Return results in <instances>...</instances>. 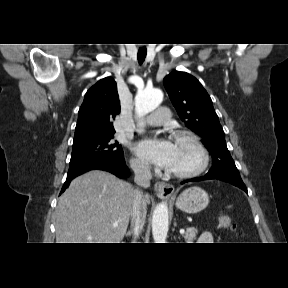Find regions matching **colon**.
I'll list each match as a JSON object with an SVG mask.
<instances>
[{
	"label": "colon",
	"instance_id": "obj_1",
	"mask_svg": "<svg viewBox=\"0 0 288 288\" xmlns=\"http://www.w3.org/2000/svg\"><path fill=\"white\" fill-rule=\"evenodd\" d=\"M219 226L224 229L234 230V225L232 223L231 218L227 214H222L219 217Z\"/></svg>",
	"mask_w": 288,
	"mask_h": 288
}]
</instances>
